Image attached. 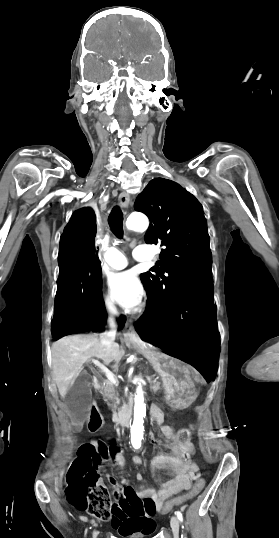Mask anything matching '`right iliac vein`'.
<instances>
[{"instance_id": "1", "label": "right iliac vein", "mask_w": 279, "mask_h": 538, "mask_svg": "<svg viewBox=\"0 0 279 538\" xmlns=\"http://www.w3.org/2000/svg\"><path fill=\"white\" fill-rule=\"evenodd\" d=\"M98 532L96 530L93 531V538L97 537Z\"/></svg>"}]
</instances>
